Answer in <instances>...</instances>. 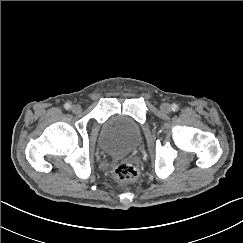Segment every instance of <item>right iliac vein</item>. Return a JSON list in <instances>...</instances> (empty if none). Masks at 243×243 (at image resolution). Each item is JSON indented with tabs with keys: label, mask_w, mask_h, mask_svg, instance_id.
<instances>
[{
	"label": "right iliac vein",
	"mask_w": 243,
	"mask_h": 243,
	"mask_svg": "<svg viewBox=\"0 0 243 243\" xmlns=\"http://www.w3.org/2000/svg\"><path fill=\"white\" fill-rule=\"evenodd\" d=\"M71 110L73 113L78 114L81 112L82 108L79 104H74L72 105Z\"/></svg>",
	"instance_id": "obj_1"
}]
</instances>
